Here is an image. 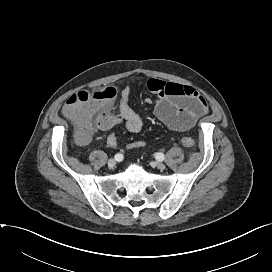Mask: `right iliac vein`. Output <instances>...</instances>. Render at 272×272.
Listing matches in <instances>:
<instances>
[{"mask_svg":"<svg viewBox=\"0 0 272 272\" xmlns=\"http://www.w3.org/2000/svg\"><path fill=\"white\" fill-rule=\"evenodd\" d=\"M115 165H116V160L113 159V158L109 159V161H108V167L109 168H113V167H115Z\"/></svg>","mask_w":272,"mask_h":272,"instance_id":"63e3f726","label":"right iliac vein"}]
</instances>
